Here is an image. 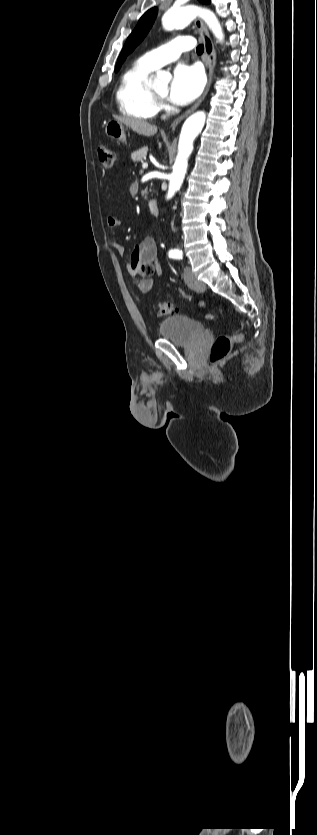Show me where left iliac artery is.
Returning a JSON list of instances; mask_svg holds the SVG:
<instances>
[{"mask_svg":"<svg viewBox=\"0 0 317 835\" xmlns=\"http://www.w3.org/2000/svg\"><path fill=\"white\" fill-rule=\"evenodd\" d=\"M169 256L172 257V258H175V259H182L183 253H182L181 250L175 249V250L170 252Z\"/></svg>","mask_w":317,"mask_h":835,"instance_id":"1","label":"left iliac artery"}]
</instances>
